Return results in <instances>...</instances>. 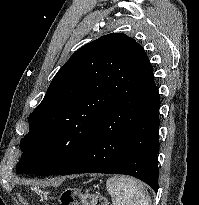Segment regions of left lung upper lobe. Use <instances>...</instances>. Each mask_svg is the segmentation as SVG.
<instances>
[{
	"label": "left lung upper lobe",
	"mask_w": 199,
	"mask_h": 205,
	"mask_svg": "<svg viewBox=\"0 0 199 205\" xmlns=\"http://www.w3.org/2000/svg\"><path fill=\"white\" fill-rule=\"evenodd\" d=\"M143 51L123 33L104 35L78 49L29 116L16 172L56 175L74 162L130 87Z\"/></svg>",
	"instance_id": "left-lung-upper-lobe-1"
}]
</instances>
